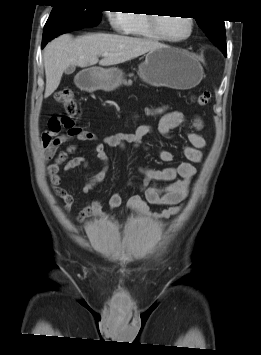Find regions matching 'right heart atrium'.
<instances>
[{"label":"right heart atrium","instance_id":"d8ad5b80","mask_svg":"<svg viewBox=\"0 0 261 355\" xmlns=\"http://www.w3.org/2000/svg\"><path fill=\"white\" fill-rule=\"evenodd\" d=\"M112 28L120 33H126L130 24V17L127 11L111 10L107 14Z\"/></svg>","mask_w":261,"mask_h":355}]
</instances>
